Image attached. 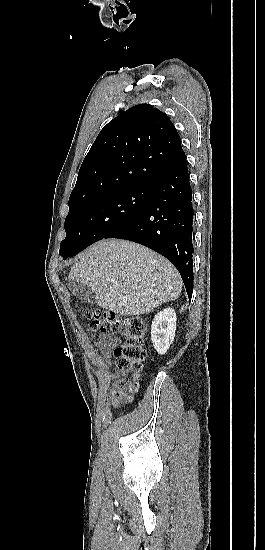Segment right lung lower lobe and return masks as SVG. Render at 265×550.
Here are the masks:
<instances>
[{
	"instance_id": "1",
	"label": "right lung lower lobe",
	"mask_w": 265,
	"mask_h": 550,
	"mask_svg": "<svg viewBox=\"0 0 265 550\" xmlns=\"http://www.w3.org/2000/svg\"><path fill=\"white\" fill-rule=\"evenodd\" d=\"M193 216L192 189L184 155L156 180L144 210L105 238L134 241L165 256L178 269L190 299Z\"/></svg>"
}]
</instances>
